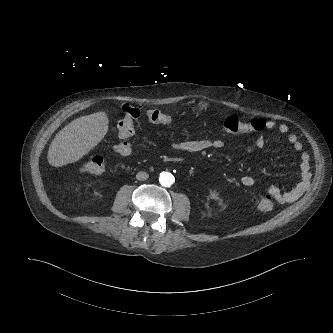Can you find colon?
Returning <instances> with one entry per match:
<instances>
[{"instance_id":"obj_1","label":"colon","mask_w":333,"mask_h":333,"mask_svg":"<svg viewBox=\"0 0 333 333\" xmlns=\"http://www.w3.org/2000/svg\"><path fill=\"white\" fill-rule=\"evenodd\" d=\"M124 118L117 124L118 134L124 137H131L134 132V122L141 115V110L136 107L125 105L123 107ZM148 120L156 124L172 125L174 119L158 109H149L145 111ZM265 122L260 119H251L248 121L240 120L237 117L229 116L223 123V129L229 133H252L264 129ZM182 131L186 134L192 133L190 126H183ZM107 168L106 161L101 156H92L87 158L81 165V170L89 174H101ZM257 208L262 213L271 212L274 209V203L270 197H263L257 201Z\"/></svg>"}]
</instances>
